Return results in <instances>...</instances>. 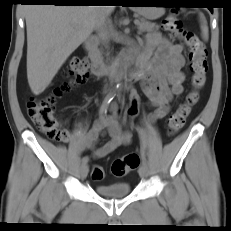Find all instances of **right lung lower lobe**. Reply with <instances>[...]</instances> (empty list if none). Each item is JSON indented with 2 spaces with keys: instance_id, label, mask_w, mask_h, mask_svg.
Wrapping results in <instances>:
<instances>
[{
  "instance_id": "obj_1",
  "label": "right lung lower lobe",
  "mask_w": 231,
  "mask_h": 231,
  "mask_svg": "<svg viewBox=\"0 0 231 231\" xmlns=\"http://www.w3.org/2000/svg\"><path fill=\"white\" fill-rule=\"evenodd\" d=\"M28 3H50L54 5H85L82 0H24Z\"/></svg>"
}]
</instances>
